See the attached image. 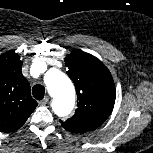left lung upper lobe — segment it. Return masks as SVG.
<instances>
[{"label":"left lung upper lobe","mask_w":153,"mask_h":153,"mask_svg":"<svg viewBox=\"0 0 153 153\" xmlns=\"http://www.w3.org/2000/svg\"><path fill=\"white\" fill-rule=\"evenodd\" d=\"M67 74L75 84L78 108L73 117L60 121L73 133L98 128L109 117L115 103V85L108 68L96 57L74 51L65 57Z\"/></svg>","instance_id":"5c2ea615"}]
</instances>
